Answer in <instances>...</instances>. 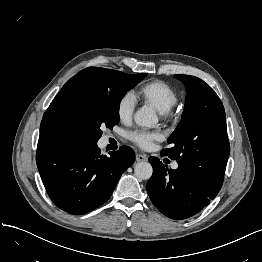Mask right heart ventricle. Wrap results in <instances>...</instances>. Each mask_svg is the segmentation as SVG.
Returning a JSON list of instances; mask_svg holds the SVG:
<instances>
[{
    "label": "right heart ventricle",
    "mask_w": 262,
    "mask_h": 262,
    "mask_svg": "<svg viewBox=\"0 0 262 262\" xmlns=\"http://www.w3.org/2000/svg\"><path fill=\"white\" fill-rule=\"evenodd\" d=\"M139 99L165 113L177 103V92L166 82L155 80L142 85L134 94Z\"/></svg>",
    "instance_id": "right-heart-ventricle-1"
}]
</instances>
